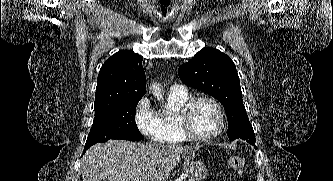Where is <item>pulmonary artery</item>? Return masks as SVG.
<instances>
[{
    "mask_svg": "<svg viewBox=\"0 0 333 181\" xmlns=\"http://www.w3.org/2000/svg\"><path fill=\"white\" fill-rule=\"evenodd\" d=\"M171 92H173V93H184V92H186V89L183 85L176 84V85H173L171 87Z\"/></svg>",
    "mask_w": 333,
    "mask_h": 181,
    "instance_id": "e3ab8cb5",
    "label": "pulmonary artery"
}]
</instances>
